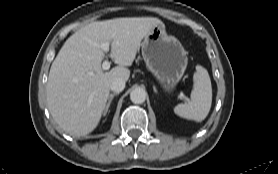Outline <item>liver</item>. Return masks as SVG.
Masks as SVG:
<instances>
[{
  "label": "liver",
  "mask_w": 278,
  "mask_h": 174,
  "mask_svg": "<svg viewBox=\"0 0 278 174\" xmlns=\"http://www.w3.org/2000/svg\"><path fill=\"white\" fill-rule=\"evenodd\" d=\"M162 21L155 17H123L95 21L71 35L54 59L46 86L48 109L56 123L71 135H87L99 124L111 81H127L142 39ZM118 66L103 72L105 51ZM93 72V75H89Z\"/></svg>",
  "instance_id": "6515ba94"
}]
</instances>
